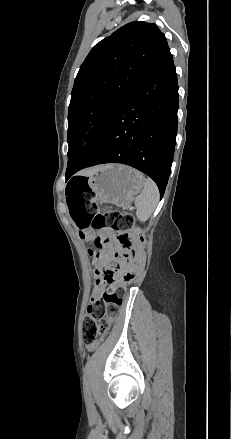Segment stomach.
<instances>
[{
    "instance_id": "0dacf381",
    "label": "stomach",
    "mask_w": 231,
    "mask_h": 439,
    "mask_svg": "<svg viewBox=\"0 0 231 439\" xmlns=\"http://www.w3.org/2000/svg\"><path fill=\"white\" fill-rule=\"evenodd\" d=\"M83 179L95 193V200L126 207L143 188L144 176L139 171L124 165L108 164L99 167Z\"/></svg>"
}]
</instances>
